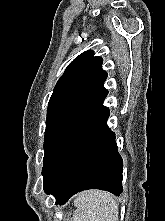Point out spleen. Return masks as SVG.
Segmentation results:
<instances>
[{
  "label": "spleen",
  "instance_id": "1",
  "mask_svg": "<svg viewBox=\"0 0 165 221\" xmlns=\"http://www.w3.org/2000/svg\"><path fill=\"white\" fill-rule=\"evenodd\" d=\"M73 221H118V204L113 196L101 190L81 192L74 200Z\"/></svg>",
  "mask_w": 165,
  "mask_h": 221
}]
</instances>
